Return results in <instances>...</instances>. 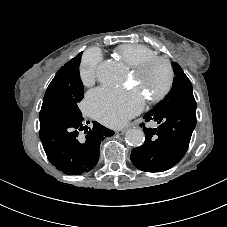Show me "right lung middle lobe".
I'll return each mask as SVG.
<instances>
[{
	"label": "right lung middle lobe",
	"instance_id": "dd1d6c3e",
	"mask_svg": "<svg viewBox=\"0 0 227 227\" xmlns=\"http://www.w3.org/2000/svg\"><path fill=\"white\" fill-rule=\"evenodd\" d=\"M81 53L75 62L64 65L56 73L44 95L39 113L40 129L61 119H82L78 103L84 90L79 76Z\"/></svg>",
	"mask_w": 227,
	"mask_h": 227
}]
</instances>
